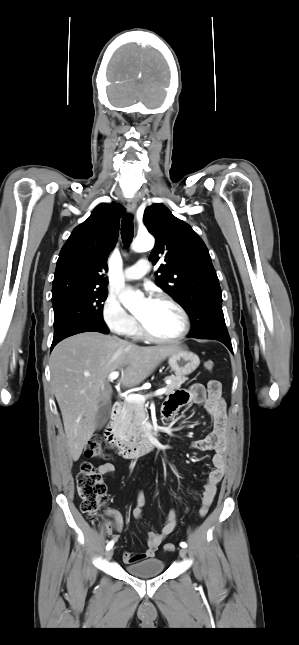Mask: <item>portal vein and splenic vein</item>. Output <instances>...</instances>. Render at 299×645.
<instances>
[{"instance_id": "portal-vein-and-splenic-vein-1", "label": "portal vein and splenic vein", "mask_w": 299, "mask_h": 645, "mask_svg": "<svg viewBox=\"0 0 299 645\" xmlns=\"http://www.w3.org/2000/svg\"><path fill=\"white\" fill-rule=\"evenodd\" d=\"M118 376H119V372H117V371L112 372V373L109 374L108 380L112 382L115 379H117ZM165 392H166L165 388L158 389L157 391H155L154 396L162 395ZM148 397L149 396H144V395H140V394H129V395L125 396V401L136 402V403H144Z\"/></svg>"}]
</instances>
